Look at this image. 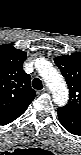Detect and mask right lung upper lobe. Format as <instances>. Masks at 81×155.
I'll return each mask as SVG.
<instances>
[{
	"label": "right lung upper lobe",
	"instance_id": "cb5924a9",
	"mask_svg": "<svg viewBox=\"0 0 81 155\" xmlns=\"http://www.w3.org/2000/svg\"><path fill=\"white\" fill-rule=\"evenodd\" d=\"M26 52L12 45L0 46V124L6 125L21 116L33 101L35 90L30 75L22 68Z\"/></svg>",
	"mask_w": 81,
	"mask_h": 155
}]
</instances>
